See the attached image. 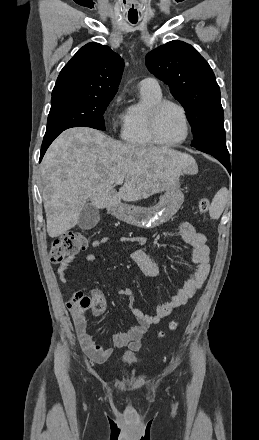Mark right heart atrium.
I'll list each match as a JSON object with an SVG mask.
<instances>
[{"label":"right heart atrium","mask_w":259,"mask_h":440,"mask_svg":"<svg viewBox=\"0 0 259 440\" xmlns=\"http://www.w3.org/2000/svg\"><path fill=\"white\" fill-rule=\"evenodd\" d=\"M121 100H122V96H121V95L117 96V97L114 99V101H113V106H117V105L120 103ZM111 124H112V126H113L114 128H117V127H120V126L123 127V124H124V115H119V116H114V117H112V118H111Z\"/></svg>","instance_id":"obj_1"}]
</instances>
